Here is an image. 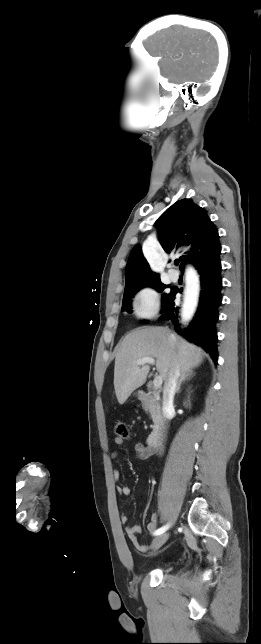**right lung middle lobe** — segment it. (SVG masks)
I'll return each mask as SVG.
<instances>
[{"mask_svg": "<svg viewBox=\"0 0 261 644\" xmlns=\"http://www.w3.org/2000/svg\"><path fill=\"white\" fill-rule=\"evenodd\" d=\"M145 286H151V287L155 288L158 292H162L165 288L168 287V285H165V284L161 283L160 280L152 281V282L137 283V284L132 285L131 287L125 289L124 296H123L122 311H127V312L131 313V308H132L131 307V303H132L131 299L133 298V296L135 295V293L139 289H141V288H143ZM174 293H175V288L172 287L170 293H168V294L164 293L163 294V296H162V311L164 310V308L166 307V305L168 304L169 300L172 298Z\"/></svg>", "mask_w": 261, "mask_h": 644, "instance_id": "dd1d6c3e", "label": "right lung middle lobe"}]
</instances>
